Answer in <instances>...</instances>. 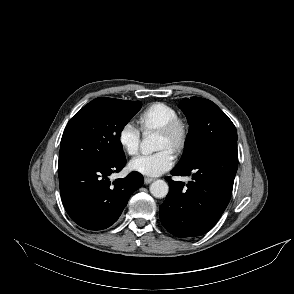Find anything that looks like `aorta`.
Returning a JSON list of instances; mask_svg holds the SVG:
<instances>
[{
  "label": "aorta",
  "mask_w": 294,
  "mask_h": 294,
  "mask_svg": "<svg viewBox=\"0 0 294 294\" xmlns=\"http://www.w3.org/2000/svg\"><path fill=\"white\" fill-rule=\"evenodd\" d=\"M158 136L156 134H147L140 143L144 153H152L158 150ZM169 187L164 180H156L150 185V193L156 198H164L168 194Z\"/></svg>",
  "instance_id": "1"
}]
</instances>
